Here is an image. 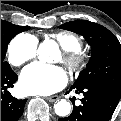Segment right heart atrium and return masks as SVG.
I'll return each mask as SVG.
<instances>
[{
	"instance_id": "obj_1",
	"label": "right heart atrium",
	"mask_w": 121,
	"mask_h": 121,
	"mask_svg": "<svg viewBox=\"0 0 121 121\" xmlns=\"http://www.w3.org/2000/svg\"><path fill=\"white\" fill-rule=\"evenodd\" d=\"M38 42L30 35L19 34L14 37L7 49L9 62L16 67L23 65L35 57Z\"/></svg>"
}]
</instances>
